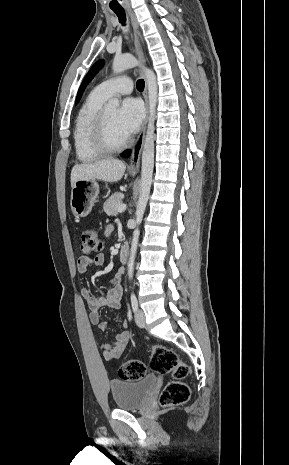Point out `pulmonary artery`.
Wrapping results in <instances>:
<instances>
[{
    "mask_svg": "<svg viewBox=\"0 0 289 465\" xmlns=\"http://www.w3.org/2000/svg\"><path fill=\"white\" fill-rule=\"evenodd\" d=\"M96 89L105 98L118 94H129L133 90V81L128 76H119L103 81Z\"/></svg>",
    "mask_w": 289,
    "mask_h": 465,
    "instance_id": "obj_1",
    "label": "pulmonary artery"
}]
</instances>
